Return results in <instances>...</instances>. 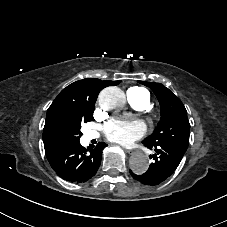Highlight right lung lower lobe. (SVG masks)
Listing matches in <instances>:
<instances>
[{
    "label": "right lung lower lobe",
    "instance_id": "right-lung-lower-lobe-1",
    "mask_svg": "<svg viewBox=\"0 0 227 227\" xmlns=\"http://www.w3.org/2000/svg\"><path fill=\"white\" fill-rule=\"evenodd\" d=\"M106 146L104 142H99L95 149L87 153L88 150L76 143L47 155V159L61 178L71 182H85L96 174L102 150Z\"/></svg>",
    "mask_w": 227,
    "mask_h": 227
}]
</instances>
